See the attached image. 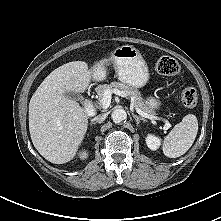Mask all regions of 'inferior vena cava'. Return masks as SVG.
<instances>
[{"label": "inferior vena cava", "mask_w": 221, "mask_h": 221, "mask_svg": "<svg viewBox=\"0 0 221 221\" xmlns=\"http://www.w3.org/2000/svg\"><path fill=\"white\" fill-rule=\"evenodd\" d=\"M106 116H107L106 114L98 115L93 120L97 122H102L105 120Z\"/></svg>", "instance_id": "602c4592"}]
</instances>
